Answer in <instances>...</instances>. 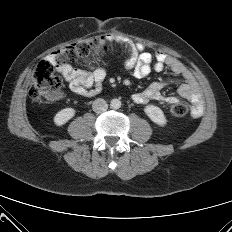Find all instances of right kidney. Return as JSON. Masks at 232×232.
<instances>
[{
    "label": "right kidney",
    "instance_id": "right-kidney-1",
    "mask_svg": "<svg viewBox=\"0 0 232 232\" xmlns=\"http://www.w3.org/2000/svg\"><path fill=\"white\" fill-rule=\"evenodd\" d=\"M75 115V110L73 108H65L59 111L55 116H54V123L57 126H62L65 123H67L71 118H73Z\"/></svg>",
    "mask_w": 232,
    "mask_h": 232
}]
</instances>
